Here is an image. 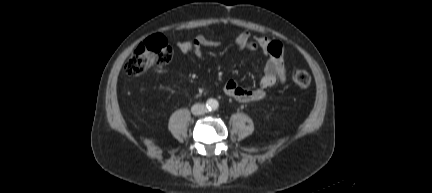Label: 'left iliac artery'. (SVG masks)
Wrapping results in <instances>:
<instances>
[{"mask_svg":"<svg viewBox=\"0 0 432 193\" xmlns=\"http://www.w3.org/2000/svg\"><path fill=\"white\" fill-rule=\"evenodd\" d=\"M217 106H218V104L216 103V104H215V108H216Z\"/></svg>","mask_w":432,"mask_h":193,"instance_id":"left-iliac-artery-1","label":"left iliac artery"}]
</instances>
